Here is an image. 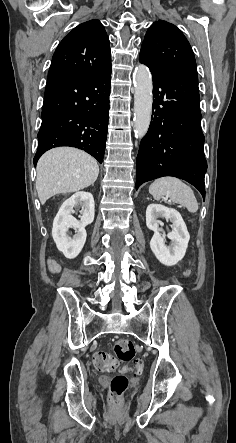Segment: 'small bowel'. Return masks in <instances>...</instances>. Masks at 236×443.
Listing matches in <instances>:
<instances>
[{
	"label": "small bowel",
	"instance_id": "1",
	"mask_svg": "<svg viewBox=\"0 0 236 443\" xmlns=\"http://www.w3.org/2000/svg\"><path fill=\"white\" fill-rule=\"evenodd\" d=\"M48 265H49V269L51 270V272H53V273H58V272H60V270H61V266L58 264V262L55 260V259H53V258H51V259H49V261H48Z\"/></svg>",
	"mask_w": 236,
	"mask_h": 443
}]
</instances>
